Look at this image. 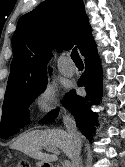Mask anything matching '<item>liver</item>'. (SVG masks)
<instances>
[{
    "mask_svg": "<svg viewBox=\"0 0 125 167\" xmlns=\"http://www.w3.org/2000/svg\"><path fill=\"white\" fill-rule=\"evenodd\" d=\"M42 147L61 149L69 159L73 156V144L67 131L61 129L34 130L18 137L11 145L12 149L41 162H53L58 159L54 154L43 153Z\"/></svg>",
    "mask_w": 125,
    "mask_h": 167,
    "instance_id": "6515ba94",
    "label": "liver"
}]
</instances>
